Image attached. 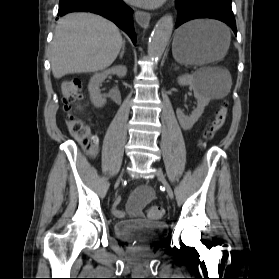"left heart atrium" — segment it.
<instances>
[{"label": "left heart atrium", "instance_id": "1", "mask_svg": "<svg viewBox=\"0 0 279 279\" xmlns=\"http://www.w3.org/2000/svg\"><path fill=\"white\" fill-rule=\"evenodd\" d=\"M128 2L144 7H156L163 3L164 0H127Z\"/></svg>", "mask_w": 279, "mask_h": 279}]
</instances>
